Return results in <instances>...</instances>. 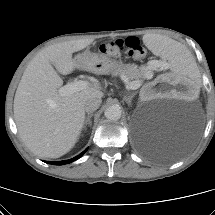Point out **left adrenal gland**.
Masks as SVG:
<instances>
[{
	"instance_id": "obj_1",
	"label": "left adrenal gland",
	"mask_w": 215,
	"mask_h": 215,
	"mask_svg": "<svg viewBox=\"0 0 215 215\" xmlns=\"http://www.w3.org/2000/svg\"><path fill=\"white\" fill-rule=\"evenodd\" d=\"M135 96V93L129 95V96H124V101L129 105L131 106V102H132V99L133 97Z\"/></svg>"
}]
</instances>
